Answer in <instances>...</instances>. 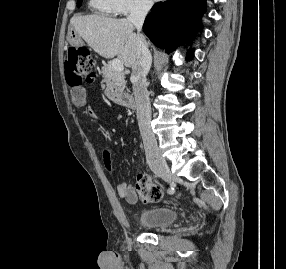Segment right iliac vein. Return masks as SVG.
<instances>
[{
	"label": "right iliac vein",
	"instance_id": "63e3f726",
	"mask_svg": "<svg viewBox=\"0 0 286 269\" xmlns=\"http://www.w3.org/2000/svg\"><path fill=\"white\" fill-rule=\"evenodd\" d=\"M153 171L156 175L164 179L165 181H170L173 178V175L168 167V165L163 162L159 166H155Z\"/></svg>",
	"mask_w": 286,
	"mask_h": 269
}]
</instances>
